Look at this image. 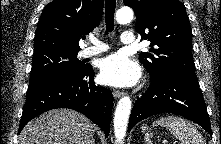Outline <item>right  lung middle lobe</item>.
<instances>
[{
	"instance_id": "dd1d6c3e",
	"label": "right lung middle lobe",
	"mask_w": 221,
	"mask_h": 144,
	"mask_svg": "<svg viewBox=\"0 0 221 144\" xmlns=\"http://www.w3.org/2000/svg\"><path fill=\"white\" fill-rule=\"evenodd\" d=\"M78 52L46 50L34 53L29 85L53 74L78 71L86 66L77 57Z\"/></svg>"
}]
</instances>
